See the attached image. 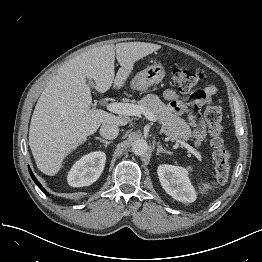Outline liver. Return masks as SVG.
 <instances>
[{
  "label": "liver",
  "mask_w": 262,
  "mask_h": 262,
  "mask_svg": "<svg viewBox=\"0 0 262 262\" xmlns=\"http://www.w3.org/2000/svg\"><path fill=\"white\" fill-rule=\"evenodd\" d=\"M161 48L158 44L125 42L93 48L69 60L51 77L35 106L29 130V145L38 169L54 176L63 160L101 124L125 126L126 116L91 109L92 97L86 80L106 92L113 84L121 89L134 63ZM115 54L121 65L115 77Z\"/></svg>",
  "instance_id": "6515ba94"
}]
</instances>
